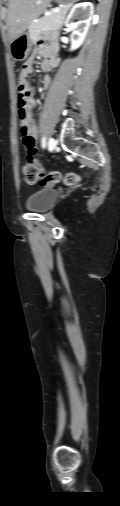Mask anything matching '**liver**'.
Here are the masks:
<instances>
[{"label": "liver", "instance_id": "obj_1", "mask_svg": "<svg viewBox=\"0 0 120 506\" xmlns=\"http://www.w3.org/2000/svg\"><path fill=\"white\" fill-rule=\"evenodd\" d=\"M51 0H9L7 26L12 42L48 7Z\"/></svg>", "mask_w": 120, "mask_h": 506}]
</instances>
